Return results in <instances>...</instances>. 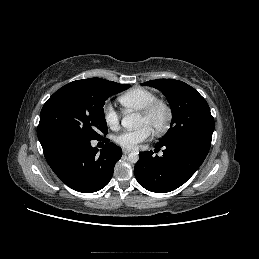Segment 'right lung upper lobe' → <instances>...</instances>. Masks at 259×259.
<instances>
[{
    "mask_svg": "<svg viewBox=\"0 0 259 259\" xmlns=\"http://www.w3.org/2000/svg\"><path fill=\"white\" fill-rule=\"evenodd\" d=\"M104 79L101 78H89V79H83V80H77V81H82V82H100L103 81Z\"/></svg>",
    "mask_w": 259,
    "mask_h": 259,
    "instance_id": "1",
    "label": "right lung upper lobe"
}]
</instances>
